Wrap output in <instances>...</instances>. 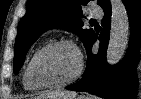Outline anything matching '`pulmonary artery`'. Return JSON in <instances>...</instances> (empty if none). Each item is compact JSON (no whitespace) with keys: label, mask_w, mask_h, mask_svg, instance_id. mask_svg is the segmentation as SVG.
Segmentation results:
<instances>
[{"label":"pulmonary artery","mask_w":141,"mask_h":99,"mask_svg":"<svg viewBox=\"0 0 141 99\" xmlns=\"http://www.w3.org/2000/svg\"><path fill=\"white\" fill-rule=\"evenodd\" d=\"M91 14L95 17H101L102 11L98 8H94L91 10Z\"/></svg>","instance_id":"e3ab8cb5"}]
</instances>
